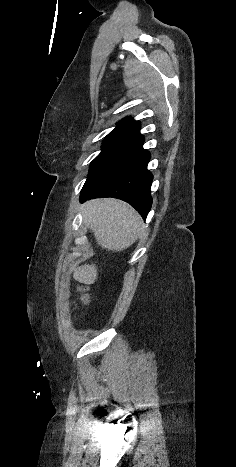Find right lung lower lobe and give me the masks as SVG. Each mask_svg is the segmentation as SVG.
Returning <instances> with one entry per match:
<instances>
[{
	"label": "right lung lower lobe",
	"instance_id": "98d812e1",
	"mask_svg": "<svg viewBox=\"0 0 236 467\" xmlns=\"http://www.w3.org/2000/svg\"><path fill=\"white\" fill-rule=\"evenodd\" d=\"M143 136L128 143L92 170L81 190L80 201L113 197L131 204L143 218L151 209L153 176L147 169L150 153Z\"/></svg>",
	"mask_w": 236,
	"mask_h": 467
}]
</instances>
